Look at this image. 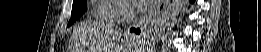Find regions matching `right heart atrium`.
Segmentation results:
<instances>
[{"label":"right heart atrium","instance_id":"d8ad5b80","mask_svg":"<svg viewBox=\"0 0 261 52\" xmlns=\"http://www.w3.org/2000/svg\"><path fill=\"white\" fill-rule=\"evenodd\" d=\"M111 2H121V1H114V0H107ZM116 17L119 18H130L133 15V9L129 5H123L119 10L115 12Z\"/></svg>","mask_w":261,"mask_h":52}]
</instances>
